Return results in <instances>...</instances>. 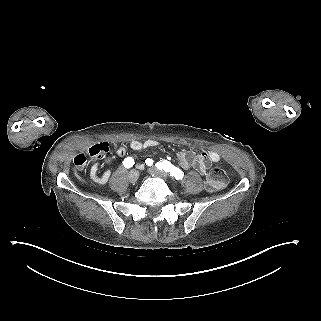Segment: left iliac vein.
I'll return each mask as SVG.
<instances>
[{
  "label": "left iliac vein",
  "instance_id": "left-iliac-vein-1",
  "mask_svg": "<svg viewBox=\"0 0 321 321\" xmlns=\"http://www.w3.org/2000/svg\"><path fill=\"white\" fill-rule=\"evenodd\" d=\"M149 173L151 175H154V176H158V177H167V173L163 172V171H160L158 169H155V168H149L148 169Z\"/></svg>",
  "mask_w": 321,
  "mask_h": 321
}]
</instances>
